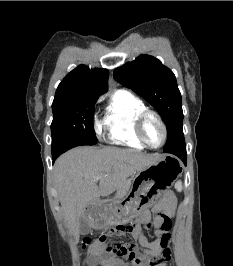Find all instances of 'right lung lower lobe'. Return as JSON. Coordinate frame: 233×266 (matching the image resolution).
Listing matches in <instances>:
<instances>
[{"mask_svg": "<svg viewBox=\"0 0 233 266\" xmlns=\"http://www.w3.org/2000/svg\"><path fill=\"white\" fill-rule=\"evenodd\" d=\"M60 154H52V159H53V162L56 160V158L59 156Z\"/></svg>", "mask_w": 233, "mask_h": 266, "instance_id": "right-lung-lower-lobe-1", "label": "right lung lower lobe"}]
</instances>
